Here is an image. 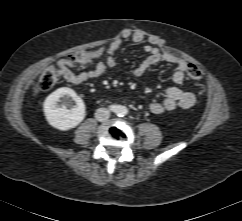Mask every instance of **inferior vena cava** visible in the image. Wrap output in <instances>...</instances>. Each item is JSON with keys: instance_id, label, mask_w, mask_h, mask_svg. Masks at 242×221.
Returning <instances> with one entry per match:
<instances>
[{"instance_id": "1", "label": "inferior vena cava", "mask_w": 242, "mask_h": 221, "mask_svg": "<svg viewBox=\"0 0 242 221\" xmlns=\"http://www.w3.org/2000/svg\"><path fill=\"white\" fill-rule=\"evenodd\" d=\"M110 117V111L106 108H98L95 112V118L100 122H105Z\"/></svg>"}]
</instances>
